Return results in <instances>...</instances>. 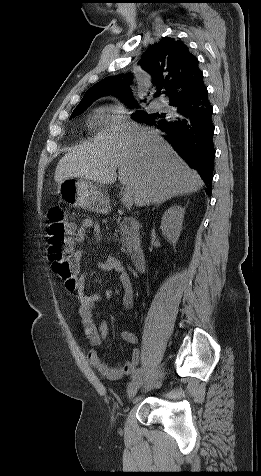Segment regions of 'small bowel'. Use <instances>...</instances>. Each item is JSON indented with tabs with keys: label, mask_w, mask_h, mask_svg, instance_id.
Returning <instances> with one entry per match:
<instances>
[{
	"label": "small bowel",
	"mask_w": 261,
	"mask_h": 476,
	"mask_svg": "<svg viewBox=\"0 0 261 476\" xmlns=\"http://www.w3.org/2000/svg\"><path fill=\"white\" fill-rule=\"evenodd\" d=\"M89 231H92L98 241L101 239V228L97 221L92 218L83 219L80 227L75 233V240L78 243H84ZM83 250H75L72 252L71 261L76 270L79 269L83 260ZM98 268L104 271H117L119 273L120 282L123 287L122 303L125 309H129L133 305L134 291L130 275L121 260L113 255H108L103 261L98 263ZM73 291L76 292L78 298V313L81 319L83 331L93 347L100 346L107 340L109 330L105 320L96 323L94 314L97 305L101 301V295L98 293L86 294L84 286V275H80ZM123 341L135 345L137 343L136 336L130 331L121 333ZM141 358V351L138 347H134L131 351L130 358L122 365L110 366L106 364L100 354L91 349L88 353V360L91 366L101 375L108 379L116 380L125 375H129L136 370Z\"/></svg>",
	"instance_id": "obj_1"
}]
</instances>
